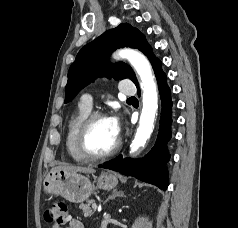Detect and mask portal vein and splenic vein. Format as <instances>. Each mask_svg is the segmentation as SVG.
<instances>
[{"label":"portal vein and splenic vein","instance_id":"18ae733b","mask_svg":"<svg viewBox=\"0 0 238 228\" xmlns=\"http://www.w3.org/2000/svg\"><path fill=\"white\" fill-rule=\"evenodd\" d=\"M92 208H93L94 210H97V205H96V203H93V204H92Z\"/></svg>","mask_w":238,"mask_h":228}]
</instances>
